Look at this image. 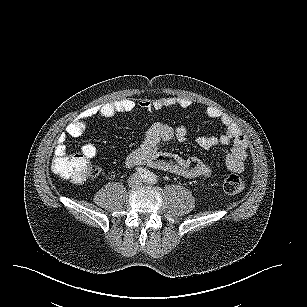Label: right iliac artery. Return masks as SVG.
<instances>
[{
  "label": "right iliac artery",
  "mask_w": 307,
  "mask_h": 307,
  "mask_svg": "<svg viewBox=\"0 0 307 307\" xmlns=\"http://www.w3.org/2000/svg\"><path fill=\"white\" fill-rule=\"evenodd\" d=\"M136 171L142 178H146L148 175V171L144 168H136Z\"/></svg>",
  "instance_id": "right-iliac-artery-1"
}]
</instances>
